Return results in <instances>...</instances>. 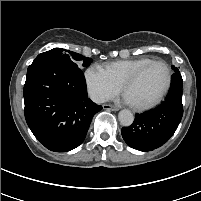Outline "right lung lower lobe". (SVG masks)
Listing matches in <instances>:
<instances>
[{
	"mask_svg": "<svg viewBox=\"0 0 201 201\" xmlns=\"http://www.w3.org/2000/svg\"><path fill=\"white\" fill-rule=\"evenodd\" d=\"M25 119L47 149L66 152L79 146L102 106L87 95L82 71L69 63L34 61L24 85Z\"/></svg>",
	"mask_w": 201,
	"mask_h": 201,
	"instance_id": "right-lung-lower-lobe-1",
	"label": "right lung lower lobe"
}]
</instances>
